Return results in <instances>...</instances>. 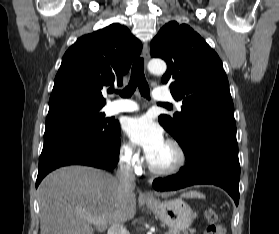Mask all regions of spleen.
<instances>
[{
	"label": "spleen",
	"instance_id": "obj_1",
	"mask_svg": "<svg viewBox=\"0 0 279 234\" xmlns=\"http://www.w3.org/2000/svg\"><path fill=\"white\" fill-rule=\"evenodd\" d=\"M184 196H187V197H195V198H205V196H204L202 193H199V192H196V191L187 193V194H185Z\"/></svg>",
	"mask_w": 279,
	"mask_h": 234
}]
</instances>
